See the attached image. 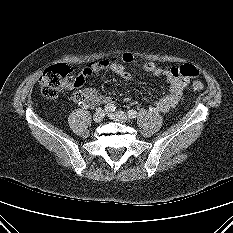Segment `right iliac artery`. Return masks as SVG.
Instances as JSON below:
<instances>
[{
    "instance_id": "1",
    "label": "right iliac artery",
    "mask_w": 233,
    "mask_h": 233,
    "mask_svg": "<svg viewBox=\"0 0 233 233\" xmlns=\"http://www.w3.org/2000/svg\"><path fill=\"white\" fill-rule=\"evenodd\" d=\"M115 109H116V107H115V105H113V104H107V105L104 107V110H105L106 112H113V111H115Z\"/></svg>"
}]
</instances>
